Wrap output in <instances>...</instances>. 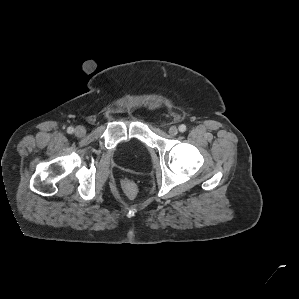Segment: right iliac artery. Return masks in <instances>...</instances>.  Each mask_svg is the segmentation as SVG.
<instances>
[{"label": "right iliac artery", "mask_w": 299, "mask_h": 299, "mask_svg": "<svg viewBox=\"0 0 299 299\" xmlns=\"http://www.w3.org/2000/svg\"><path fill=\"white\" fill-rule=\"evenodd\" d=\"M67 132L69 134H72L74 132V128L73 127H68Z\"/></svg>", "instance_id": "obj_1"}]
</instances>
